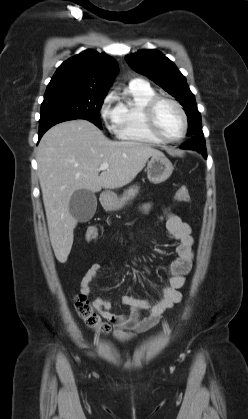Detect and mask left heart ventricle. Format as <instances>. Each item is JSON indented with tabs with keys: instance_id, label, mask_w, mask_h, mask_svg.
I'll return each mask as SVG.
<instances>
[{
	"instance_id": "1",
	"label": "left heart ventricle",
	"mask_w": 248,
	"mask_h": 419,
	"mask_svg": "<svg viewBox=\"0 0 248 419\" xmlns=\"http://www.w3.org/2000/svg\"><path fill=\"white\" fill-rule=\"evenodd\" d=\"M158 131L166 138H175L182 132L183 122L178 110L168 102H161L155 111Z\"/></svg>"
}]
</instances>
